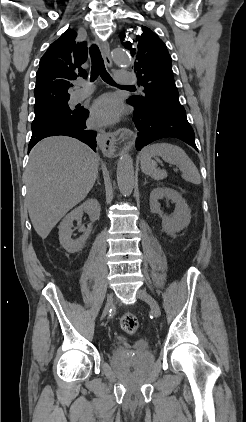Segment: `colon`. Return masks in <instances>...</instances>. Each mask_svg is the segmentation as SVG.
<instances>
[{"label":"colon","instance_id":"colon-1","mask_svg":"<svg viewBox=\"0 0 246 422\" xmlns=\"http://www.w3.org/2000/svg\"><path fill=\"white\" fill-rule=\"evenodd\" d=\"M120 327L127 334H134L139 327L137 317L132 313H126L120 318Z\"/></svg>","mask_w":246,"mask_h":422}]
</instances>
